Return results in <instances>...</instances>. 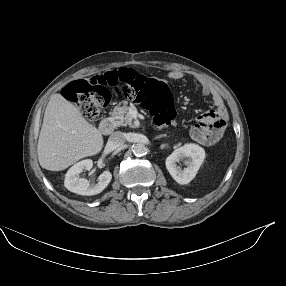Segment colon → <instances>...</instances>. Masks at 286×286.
I'll list each match as a JSON object with an SVG mask.
<instances>
[{
  "mask_svg": "<svg viewBox=\"0 0 286 286\" xmlns=\"http://www.w3.org/2000/svg\"><path fill=\"white\" fill-rule=\"evenodd\" d=\"M109 87L127 98L140 96L142 105L159 123H169L175 118L173 96L168 86L132 69L109 71L89 80L73 81L65 88L64 96L77 104L89 121L96 122L110 103ZM189 131L197 141L216 144L225 138L227 127L216 113L209 110L191 121Z\"/></svg>",
  "mask_w": 286,
  "mask_h": 286,
  "instance_id": "1",
  "label": "colon"
}]
</instances>
